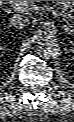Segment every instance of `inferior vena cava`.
I'll return each instance as SVG.
<instances>
[{
	"label": "inferior vena cava",
	"instance_id": "602c4592",
	"mask_svg": "<svg viewBox=\"0 0 74 122\" xmlns=\"http://www.w3.org/2000/svg\"><path fill=\"white\" fill-rule=\"evenodd\" d=\"M30 24V20L25 15L14 14L10 17V25L18 29L26 28Z\"/></svg>",
	"mask_w": 74,
	"mask_h": 122
}]
</instances>
